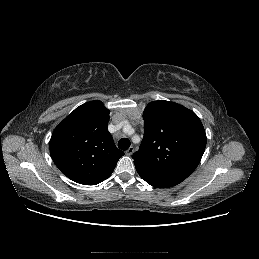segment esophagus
Segmentation results:
<instances>
[{"mask_svg":"<svg viewBox=\"0 0 259 259\" xmlns=\"http://www.w3.org/2000/svg\"><path fill=\"white\" fill-rule=\"evenodd\" d=\"M133 152H134V148L133 147H130V148H128L127 150H126V155H132L133 154Z\"/></svg>","mask_w":259,"mask_h":259,"instance_id":"esophagus-1","label":"esophagus"}]
</instances>
